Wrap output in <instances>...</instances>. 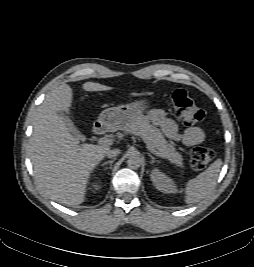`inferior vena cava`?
I'll list each match as a JSON object with an SVG mask.
<instances>
[{"label": "inferior vena cava", "instance_id": "1", "mask_svg": "<svg viewBox=\"0 0 254 267\" xmlns=\"http://www.w3.org/2000/svg\"><path fill=\"white\" fill-rule=\"evenodd\" d=\"M120 153L121 152L119 149H112V150L107 151L106 156L108 158H113V157H116L117 155H119Z\"/></svg>", "mask_w": 254, "mask_h": 267}]
</instances>
